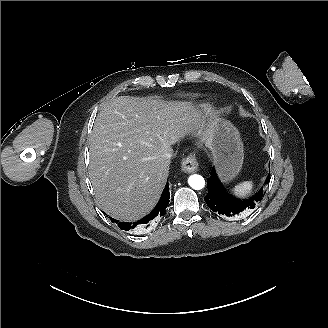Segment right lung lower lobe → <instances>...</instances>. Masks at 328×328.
<instances>
[{
	"label": "right lung lower lobe",
	"mask_w": 328,
	"mask_h": 328,
	"mask_svg": "<svg viewBox=\"0 0 328 328\" xmlns=\"http://www.w3.org/2000/svg\"><path fill=\"white\" fill-rule=\"evenodd\" d=\"M169 199H170V193H169V185L168 183L166 184L163 193L161 195V198L154 208V210L148 214L146 217L142 218L139 221L136 222H119L113 218H111V221L113 223H116L118 227L122 230L128 231L134 228H147L150 226V224L157 222L164 214H165V209L167 205L169 204Z\"/></svg>",
	"instance_id": "right-lung-lower-lobe-1"
}]
</instances>
